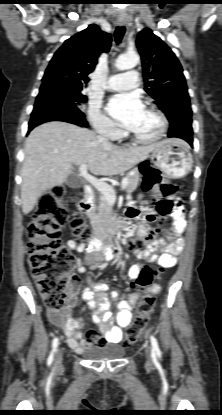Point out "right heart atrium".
<instances>
[{"label": "right heart atrium", "mask_w": 222, "mask_h": 415, "mask_svg": "<svg viewBox=\"0 0 222 415\" xmlns=\"http://www.w3.org/2000/svg\"><path fill=\"white\" fill-rule=\"evenodd\" d=\"M88 120L93 129L100 135L110 139H116L120 135L119 127L96 105H91L88 110Z\"/></svg>", "instance_id": "1"}]
</instances>
